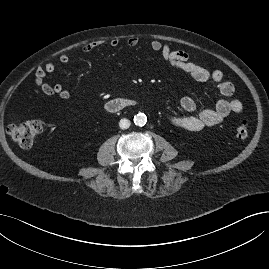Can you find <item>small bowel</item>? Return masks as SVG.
Segmentation results:
<instances>
[{
	"label": "small bowel",
	"instance_id": "small-bowel-1",
	"mask_svg": "<svg viewBox=\"0 0 269 269\" xmlns=\"http://www.w3.org/2000/svg\"><path fill=\"white\" fill-rule=\"evenodd\" d=\"M138 44L139 40L136 37H131L127 40V45L130 48H135ZM101 45L116 48L119 46V40L111 38L104 41L89 42L84 45L83 52L90 53ZM150 47L153 51L159 52L166 63L182 70L193 79L201 82L213 81L217 84L219 92L225 96V98L219 99L212 108L205 109L197 115L175 116L166 113V120L173 126L188 131H199L223 122L224 119L232 113L242 112L243 103L238 99L231 98L235 91L234 85L230 81L224 79V74L220 70L210 71L192 61L185 51L173 50L170 46L159 40L151 41ZM69 60V54H62L60 56V62L63 65L68 64ZM54 70L55 65L51 62L39 67L35 72L36 85L48 96L57 95L63 99L70 98L72 93L69 89L61 84H49L46 81L47 76L53 73ZM195 107L196 103L190 96H185L180 101V108L186 113L192 112Z\"/></svg>",
	"mask_w": 269,
	"mask_h": 269
}]
</instances>
